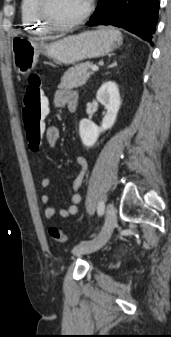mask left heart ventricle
<instances>
[{
	"instance_id": "left-heart-ventricle-1",
	"label": "left heart ventricle",
	"mask_w": 171,
	"mask_h": 337,
	"mask_svg": "<svg viewBox=\"0 0 171 337\" xmlns=\"http://www.w3.org/2000/svg\"><path fill=\"white\" fill-rule=\"evenodd\" d=\"M87 0H50V12L58 21H70L80 16L87 7Z\"/></svg>"
}]
</instances>
